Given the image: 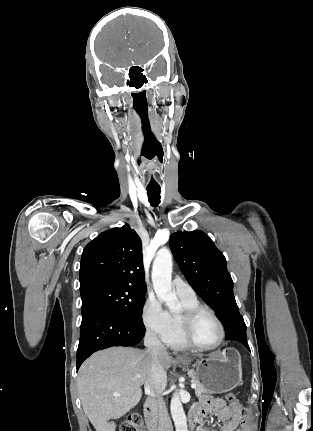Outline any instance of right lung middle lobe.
Listing matches in <instances>:
<instances>
[{
    "label": "right lung middle lobe",
    "instance_id": "1",
    "mask_svg": "<svg viewBox=\"0 0 313 431\" xmlns=\"http://www.w3.org/2000/svg\"><path fill=\"white\" fill-rule=\"evenodd\" d=\"M145 290L131 286H116L101 289L82 297V315L103 308L117 312L128 320L143 326L142 311L145 303Z\"/></svg>",
    "mask_w": 313,
    "mask_h": 431
}]
</instances>
